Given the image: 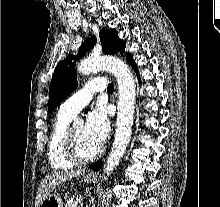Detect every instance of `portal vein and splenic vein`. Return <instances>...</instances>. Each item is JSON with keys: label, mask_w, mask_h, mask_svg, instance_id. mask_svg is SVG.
Returning <instances> with one entry per match:
<instances>
[{"label": "portal vein and splenic vein", "mask_w": 220, "mask_h": 207, "mask_svg": "<svg viewBox=\"0 0 220 207\" xmlns=\"http://www.w3.org/2000/svg\"><path fill=\"white\" fill-rule=\"evenodd\" d=\"M83 201V198H82V196H79L78 198H77V202H82Z\"/></svg>", "instance_id": "1"}]
</instances>
